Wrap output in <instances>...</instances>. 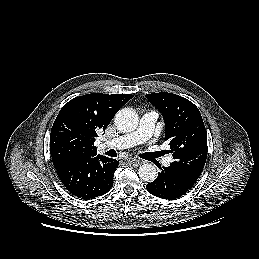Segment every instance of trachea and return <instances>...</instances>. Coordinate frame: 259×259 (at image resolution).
Segmentation results:
<instances>
[{"mask_svg":"<svg viewBox=\"0 0 259 259\" xmlns=\"http://www.w3.org/2000/svg\"><path fill=\"white\" fill-rule=\"evenodd\" d=\"M106 154L111 157H116L117 155L113 149L109 150ZM159 154H162V152H159Z\"/></svg>","mask_w":259,"mask_h":259,"instance_id":"trachea-1","label":"trachea"}]
</instances>
